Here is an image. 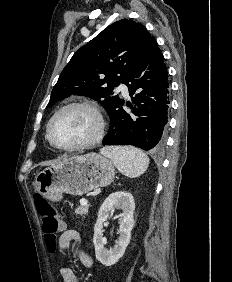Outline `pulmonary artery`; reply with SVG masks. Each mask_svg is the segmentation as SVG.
Segmentation results:
<instances>
[{"instance_id": "obj_1", "label": "pulmonary artery", "mask_w": 232, "mask_h": 282, "mask_svg": "<svg viewBox=\"0 0 232 282\" xmlns=\"http://www.w3.org/2000/svg\"><path fill=\"white\" fill-rule=\"evenodd\" d=\"M117 90H118V91H121L124 96H127V95H128V87H127L125 84H120V85L117 87Z\"/></svg>"}]
</instances>
